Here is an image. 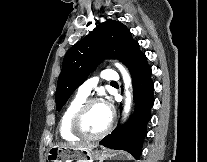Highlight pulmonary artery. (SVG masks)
<instances>
[{
  "mask_svg": "<svg viewBox=\"0 0 207 162\" xmlns=\"http://www.w3.org/2000/svg\"><path fill=\"white\" fill-rule=\"evenodd\" d=\"M102 78L106 80L108 83L113 84L116 83L118 76L116 73H112L108 70L103 71ZM97 85V79L91 78L81 84L78 88V94L88 97L91 94L92 89Z\"/></svg>",
  "mask_w": 207,
  "mask_h": 162,
  "instance_id": "e3ab8cb5",
  "label": "pulmonary artery"
}]
</instances>
